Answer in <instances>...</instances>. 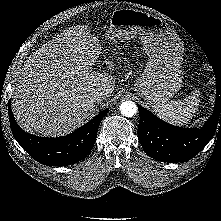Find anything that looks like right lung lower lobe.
Here are the masks:
<instances>
[{
	"label": "right lung lower lobe",
	"mask_w": 221,
	"mask_h": 221,
	"mask_svg": "<svg viewBox=\"0 0 221 221\" xmlns=\"http://www.w3.org/2000/svg\"><path fill=\"white\" fill-rule=\"evenodd\" d=\"M108 111L100 112L69 135L47 138L23 131L13 117L10 101L8 103L9 122L15 139L33 159L49 166H66L84 159L90 153L99 125Z\"/></svg>",
	"instance_id": "right-lung-lower-lobe-1"
}]
</instances>
